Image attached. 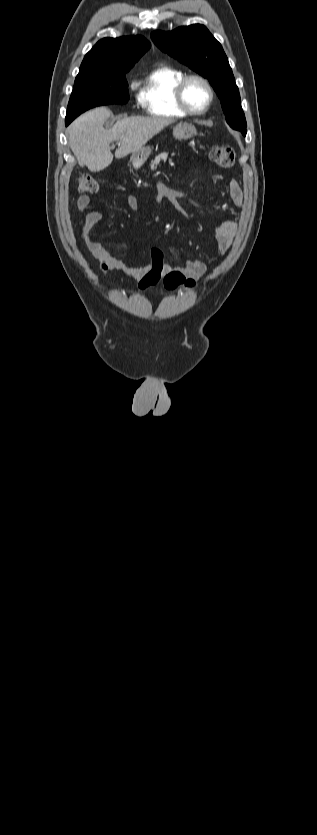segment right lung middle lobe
Here are the masks:
<instances>
[{
	"instance_id": "1",
	"label": "right lung middle lobe",
	"mask_w": 317,
	"mask_h": 835,
	"mask_svg": "<svg viewBox=\"0 0 317 835\" xmlns=\"http://www.w3.org/2000/svg\"><path fill=\"white\" fill-rule=\"evenodd\" d=\"M129 70L79 72L69 100L65 124L68 125L90 108L127 103L129 93L125 72Z\"/></svg>"
}]
</instances>
